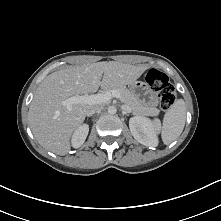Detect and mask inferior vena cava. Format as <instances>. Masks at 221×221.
<instances>
[{"instance_id": "inferior-vena-cava-1", "label": "inferior vena cava", "mask_w": 221, "mask_h": 221, "mask_svg": "<svg viewBox=\"0 0 221 221\" xmlns=\"http://www.w3.org/2000/svg\"><path fill=\"white\" fill-rule=\"evenodd\" d=\"M103 110L102 106H94L88 113L87 116H91L95 113H100Z\"/></svg>"}]
</instances>
